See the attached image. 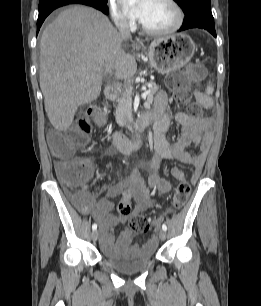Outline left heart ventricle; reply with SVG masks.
<instances>
[{
  "instance_id": "obj_1",
  "label": "left heart ventricle",
  "mask_w": 261,
  "mask_h": 306,
  "mask_svg": "<svg viewBox=\"0 0 261 306\" xmlns=\"http://www.w3.org/2000/svg\"><path fill=\"white\" fill-rule=\"evenodd\" d=\"M174 19L173 8L164 0H149L139 20L151 28H165L170 26Z\"/></svg>"
}]
</instances>
